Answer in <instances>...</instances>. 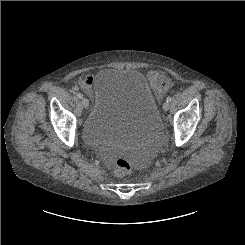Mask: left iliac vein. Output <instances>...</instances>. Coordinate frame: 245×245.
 I'll list each match as a JSON object with an SVG mask.
<instances>
[{
	"mask_svg": "<svg viewBox=\"0 0 245 245\" xmlns=\"http://www.w3.org/2000/svg\"><path fill=\"white\" fill-rule=\"evenodd\" d=\"M169 108H170L169 103H168V102H165V103L163 104V109H164V111H168Z\"/></svg>",
	"mask_w": 245,
	"mask_h": 245,
	"instance_id": "1",
	"label": "left iliac vein"
}]
</instances>
